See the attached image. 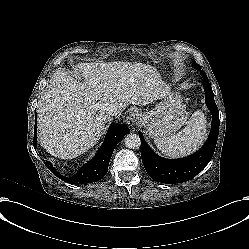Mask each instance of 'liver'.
Segmentation results:
<instances>
[{
	"instance_id": "6515ba94",
	"label": "liver",
	"mask_w": 249,
	"mask_h": 249,
	"mask_svg": "<svg viewBox=\"0 0 249 249\" xmlns=\"http://www.w3.org/2000/svg\"><path fill=\"white\" fill-rule=\"evenodd\" d=\"M85 82L61 72L52 78L38 105V137L52 156L73 159L96 145L103 135L108 110L146 106L167 89L148 65L81 63ZM78 74V73H77Z\"/></svg>"
}]
</instances>
